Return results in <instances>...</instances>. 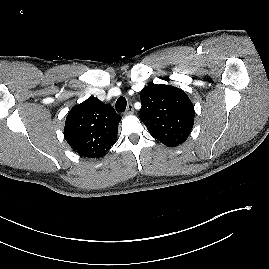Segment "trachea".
Wrapping results in <instances>:
<instances>
[{
	"label": "trachea",
	"instance_id": "obj_1",
	"mask_svg": "<svg viewBox=\"0 0 269 269\" xmlns=\"http://www.w3.org/2000/svg\"><path fill=\"white\" fill-rule=\"evenodd\" d=\"M127 106V101L126 99L121 96L118 98V100L116 101V110L117 112H124Z\"/></svg>",
	"mask_w": 269,
	"mask_h": 269
}]
</instances>
